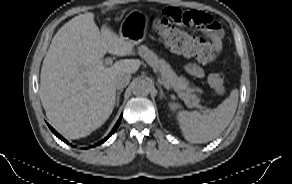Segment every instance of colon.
I'll use <instances>...</instances> for the list:
<instances>
[{
  "label": "colon",
  "instance_id": "1",
  "mask_svg": "<svg viewBox=\"0 0 292 184\" xmlns=\"http://www.w3.org/2000/svg\"><path fill=\"white\" fill-rule=\"evenodd\" d=\"M153 25L164 44L172 50L194 56L204 63L211 62L216 58L217 50L212 43L187 35L177 27H212L213 21L206 14L198 11L168 8L163 16L153 20ZM207 80L218 95L225 93V78L222 72L210 73Z\"/></svg>",
  "mask_w": 292,
  "mask_h": 184
}]
</instances>
